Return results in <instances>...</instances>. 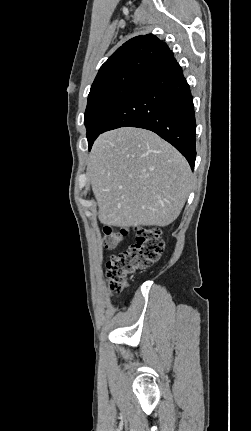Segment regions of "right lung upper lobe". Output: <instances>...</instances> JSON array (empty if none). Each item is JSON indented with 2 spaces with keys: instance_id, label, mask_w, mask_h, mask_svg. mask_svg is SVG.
Returning a JSON list of instances; mask_svg holds the SVG:
<instances>
[{
  "instance_id": "obj_1",
  "label": "right lung upper lobe",
  "mask_w": 251,
  "mask_h": 431,
  "mask_svg": "<svg viewBox=\"0 0 251 431\" xmlns=\"http://www.w3.org/2000/svg\"><path fill=\"white\" fill-rule=\"evenodd\" d=\"M170 50L166 43L152 34L140 35L128 40L119 47L101 66L95 80L96 83L113 71L133 62L150 61L158 50Z\"/></svg>"
}]
</instances>
